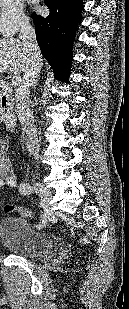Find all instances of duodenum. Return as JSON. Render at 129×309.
Here are the masks:
<instances>
[{"label": "duodenum", "instance_id": "410a0bca", "mask_svg": "<svg viewBox=\"0 0 129 309\" xmlns=\"http://www.w3.org/2000/svg\"><path fill=\"white\" fill-rule=\"evenodd\" d=\"M0 118L8 130H13L17 124V118L14 112L13 103L11 100L0 103Z\"/></svg>", "mask_w": 129, "mask_h": 309}]
</instances>
